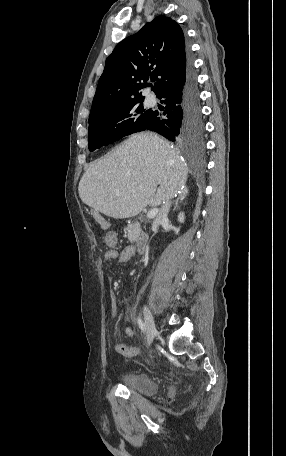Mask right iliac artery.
I'll return each mask as SVG.
<instances>
[{
    "label": "right iliac artery",
    "instance_id": "obj_1",
    "mask_svg": "<svg viewBox=\"0 0 286 456\" xmlns=\"http://www.w3.org/2000/svg\"><path fill=\"white\" fill-rule=\"evenodd\" d=\"M137 323H138L139 328H140L143 332H146V325H145V323H144L140 318L137 319Z\"/></svg>",
    "mask_w": 286,
    "mask_h": 456
}]
</instances>
